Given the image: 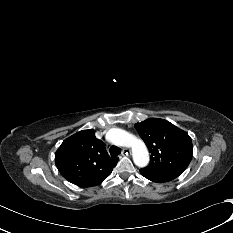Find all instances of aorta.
I'll return each mask as SVG.
<instances>
[{
    "label": "aorta",
    "mask_w": 233,
    "mask_h": 233,
    "mask_svg": "<svg viewBox=\"0 0 233 233\" xmlns=\"http://www.w3.org/2000/svg\"><path fill=\"white\" fill-rule=\"evenodd\" d=\"M106 137L114 145L131 148L136 166L145 167L148 165L149 152L142 140L119 128L110 129Z\"/></svg>",
    "instance_id": "762f6f07"
}]
</instances>
